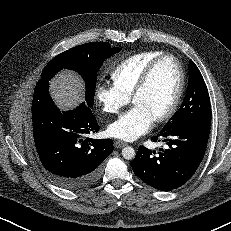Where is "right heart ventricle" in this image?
<instances>
[{"label":"right heart ventricle","mask_w":231,"mask_h":231,"mask_svg":"<svg viewBox=\"0 0 231 231\" xmlns=\"http://www.w3.org/2000/svg\"><path fill=\"white\" fill-rule=\"evenodd\" d=\"M161 54V51H146L127 58L112 72L113 84L130 98L146 66Z\"/></svg>","instance_id":"1"}]
</instances>
